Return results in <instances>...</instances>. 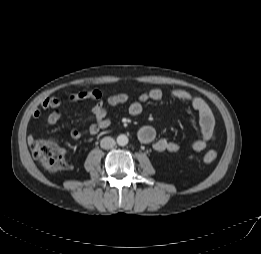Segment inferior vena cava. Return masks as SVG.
<instances>
[{"mask_svg":"<svg viewBox=\"0 0 261 254\" xmlns=\"http://www.w3.org/2000/svg\"><path fill=\"white\" fill-rule=\"evenodd\" d=\"M100 146L103 149H111L115 146V140L111 137H104L100 142Z\"/></svg>","mask_w":261,"mask_h":254,"instance_id":"obj_1","label":"inferior vena cava"}]
</instances>
